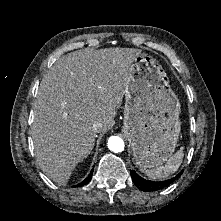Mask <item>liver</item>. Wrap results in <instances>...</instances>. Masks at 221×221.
<instances>
[{
    "mask_svg": "<svg viewBox=\"0 0 221 221\" xmlns=\"http://www.w3.org/2000/svg\"><path fill=\"white\" fill-rule=\"evenodd\" d=\"M134 48H86L58 59L46 72L34 102L31 137L41 170L65 185L91 153L96 133L114 124L125 96ZM102 127L94 131L92 126Z\"/></svg>",
    "mask_w": 221,
    "mask_h": 221,
    "instance_id": "6515ba94",
    "label": "liver"
}]
</instances>
